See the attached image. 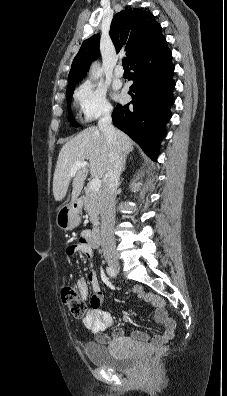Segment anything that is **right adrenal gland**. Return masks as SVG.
Listing matches in <instances>:
<instances>
[{"mask_svg":"<svg viewBox=\"0 0 227 396\" xmlns=\"http://www.w3.org/2000/svg\"><path fill=\"white\" fill-rule=\"evenodd\" d=\"M127 155H128V153L124 154L121 173L125 171Z\"/></svg>","mask_w":227,"mask_h":396,"instance_id":"obj_1","label":"right adrenal gland"}]
</instances>
